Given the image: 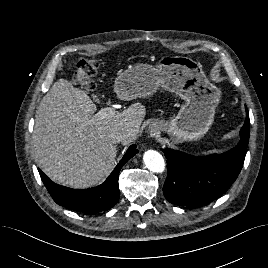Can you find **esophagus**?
<instances>
[{"label":"esophagus","mask_w":268,"mask_h":268,"mask_svg":"<svg viewBox=\"0 0 268 268\" xmlns=\"http://www.w3.org/2000/svg\"><path fill=\"white\" fill-rule=\"evenodd\" d=\"M158 130H159V127L157 125L151 126V129H150L151 135L157 134Z\"/></svg>","instance_id":"34e87169"}]
</instances>
